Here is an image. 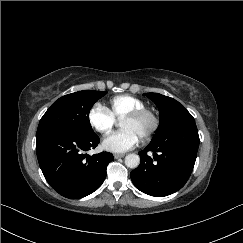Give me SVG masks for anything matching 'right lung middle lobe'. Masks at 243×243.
Listing matches in <instances>:
<instances>
[{
    "mask_svg": "<svg viewBox=\"0 0 243 243\" xmlns=\"http://www.w3.org/2000/svg\"><path fill=\"white\" fill-rule=\"evenodd\" d=\"M106 93L85 90L59 98L41 118L36 135L49 131H63L78 135L95 134L88 115L94 103Z\"/></svg>",
    "mask_w": 243,
    "mask_h": 243,
    "instance_id": "1",
    "label": "right lung middle lobe"
}]
</instances>
